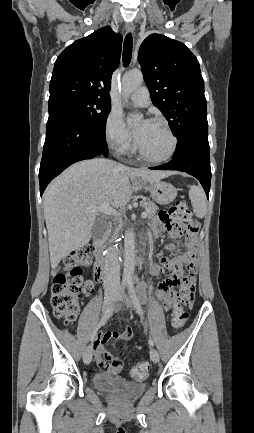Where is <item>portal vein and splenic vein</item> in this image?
Here are the masks:
<instances>
[{
  "instance_id": "1",
  "label": "portal vein and splenic vein",
  "mask_w": 254,
  "mask_h": 433,
  "mask_svg": "<svg viewBox=\"0 0 254 433\" xmlns=\"http://www.w3.org/2000/svg\"><path fill=\"white\" fill-rule=\"evenodd\" d=\"M88 211L93 212V213L102 212V213H105L107 215H113V216H119L120 215V213L116 209L112 208L110 206V204H108V203L102 204L96 208L89 209ZM141 216H142V218H146L147 213L143 212L141 214Z\"/></svg>"
}]
</instances>
